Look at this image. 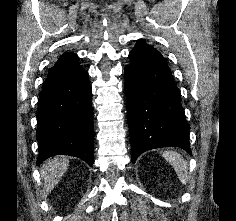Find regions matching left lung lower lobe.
I'll return each mask as SVG.
<instances>
[{"label":"left lung lower lobe","instance_id":"obj_1","mask_svg":"<svg viewBox=\"0 0 236 221\" xmlns=\"http://www.w3.org/2000/svg\"><path fill=\"white\" fill-rule=\"evenodd\" d=\"M129 57L124 73L133 163L155 148L180 147L191 154L190 126L165 58L143 40Z\"/></svg>","mask_w":236,"mask_h":221}]
</instances>
